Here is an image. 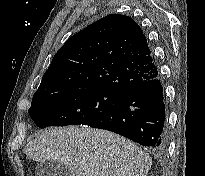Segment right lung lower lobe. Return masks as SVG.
I'll use <instances>...</instances> for the list:
<instances>
[{
    "mask_svg": "<svg viewBox=\"0 0 205 176\" xmlns=\"http://www.w3.org/2000/svg\"><path fill=\"white\" fill-rule=\"evenodd\" d=\"M88 126L115 132L155 152L165 151L168 130L159 77L128 89L102 117Z\"/></svg>",
    "mask_w": 205,
    "mask_h": 176,
    "instance_id": "98d812e1",
    "label": "right lung lower lobe"
}]
</instances>
